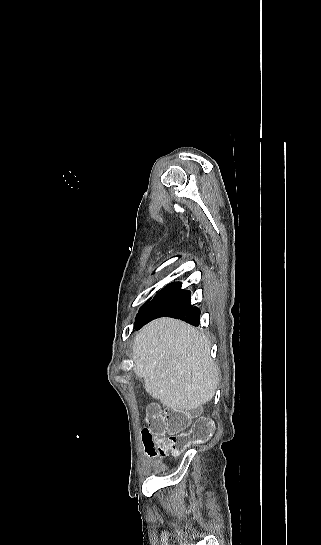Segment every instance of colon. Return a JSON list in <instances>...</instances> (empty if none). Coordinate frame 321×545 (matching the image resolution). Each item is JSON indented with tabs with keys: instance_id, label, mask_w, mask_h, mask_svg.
<instances>
[{
	"instance_id": "obj_1",
	"label": "colon",
	"mask_w": 321,
	"mask_h": 545,
	"mask_svg": "<svg viewBox=\"0 0 321 545\" xmlns=\"http://www.w3.org/2000/svg\"><path fill=\"white\" fill-rule=\"evenodd\" d=\"M195 409H162L156 404L147 408L142 438L150 456L179 455L187 447L208 441L214 424L208 417H199L186 430L195 415Z\"/></svg>"
}]
</instances>
